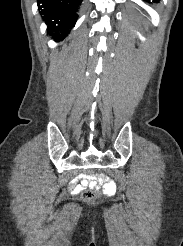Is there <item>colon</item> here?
Returning a JSON list of instances; mask_svg holds the SVG:
<instances>
[{
    "instance_id": "1",
    "label": "colon",
    "mask_w": 183,
    "mask_h": 246,
    "mask_svg": "<svg viewBox=\"0 0 183 246\" xmlns=\"http://www.w3.org/2000/svg\"><path fill=\"white\" fill-rule=\"evenodd\" d=\"M86 174H88V175L95 174V170H92L91 167H88L86 170ZM96 197H97V192L94 190H85L82 193V199L86 203L92 202Z\"/></svg>"
}]
</instances>
